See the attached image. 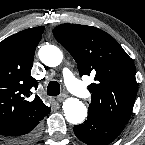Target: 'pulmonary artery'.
<instances>
[{
	"label": "pulmonary artery",
	"mask_w": 145,
	"mask_h": 145,
	"mask_svg": "<svg viewBox=\"0 0 145 145\" xmlns=\"http://www.w3.org/2000/svg\"><path fill=\"white\" fill-rule=\"evenodd\" d=\"M63 77L66 85L74 95L82 99L87 98L89 94L87 88L69 70L63 71Z\"/></svg>",
	"instance_id": "pulmonary-artery-1"
}]
</instances>
